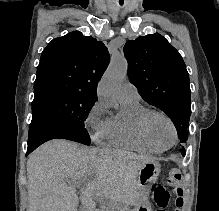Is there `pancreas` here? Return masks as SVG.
<instances>
[{
    "instance_id": "pancreas-1",
    "label": "pancreas",
    "mask_w": 219,
    "mask_h": 211,
    "mask_svg": "<svg viewBox=\"0 0 219 211\" xmlns=\"http://www.w3.org/2000/svg\"><path fill=\"white\" fill-rule=\"evenodd\" d=\"M106 207H104L105 211H118L119 207L122 208V211H129L130 209L126 207L125 203H122L121 200H106Z\"/></svg>"
}]
</instances>
